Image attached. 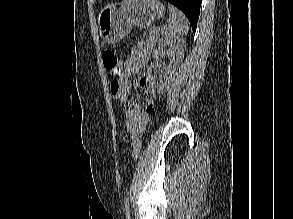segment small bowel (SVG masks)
<instances>
[{
  "label": "small bowel",
  "mask_w": 293,
  "mask_h": 219,
  "mask_svg": "<svg viewBox=\"0 0 293 219\" xmlns=\"http://www.w3.org/2000/svg\"><path fill=\"white\" fill-rule=\"evenodd\" d=\"M151 53L150 44L142 40L131 51L130 56L123 63V71L119 78L114 80L117 83V89L111 90L115 98L122 104L124 109V126L132 138L140 136L149 121V108L154 110L156 93L147 88V82L144 78L130 79L131 76L138 73L143 65L148 61ZM131 88L145 89V108L142 104L131 100L129 92Z\"/></svg>",
  "instance_id": "obj_1"
}]
</instances>
